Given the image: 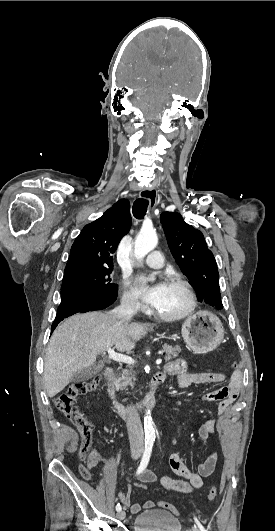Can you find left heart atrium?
Instances as JSON below:
<instances>
[{"mask_svg":"<svg viewBox=\"0 0 275 531\" xmlns=\"http://www.w3.org/2000/svg\"><path fill=\"white\" fill-rule=\"evenodd\" d=\"M165 284L166 282L162 280L152 283L148 276L140 275L136 280V289L147 303L155 306L161 297Z\"/></svg>","mask_w":275,"mask_h":531,"instance_id":"39dd6f15","label":"left heart atrium"}]
</instances>
